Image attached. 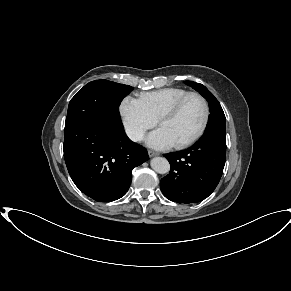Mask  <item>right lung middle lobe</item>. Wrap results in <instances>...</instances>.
Instances as JSON below:
<instances>
[{"label":"right lung middle lobe","mask_w":291,"mask_h":291,"mask_svg":"<svg viewBox=\"0 0 291 291\" xmlns=\"http://www.w3.org/2000/svg\"><path fill=\"white\" fill-rule=\"evenodd\" d=\"M131 90V86L108 80L89 82L71 99L66 121L93 124L100 119L119 117L118 107Z\"/></svg>","instance_id":"dd1d6c3e"}]
</instances>
